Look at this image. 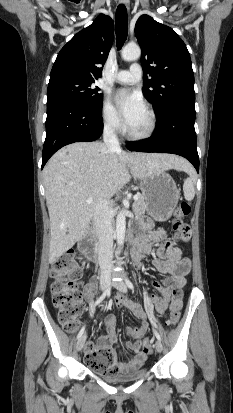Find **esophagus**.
<instances>
[{
  "instance_id": "1",
  "label": "esophagus",
  "mask_w": 233,
  "mask_h": 413,
  "mask_svg": "<svg viewBox=\"0 0 233 413\" xmlns=\"http://www.w3.org/2000/svg\"><path fill=\"white\" fill-rule=\"evenodd\" d=\"M120 2L125 5L127 10H129V8H130V1L129 0H120Z\"/></svg>"
}]
</instances>
